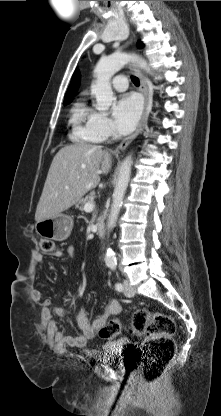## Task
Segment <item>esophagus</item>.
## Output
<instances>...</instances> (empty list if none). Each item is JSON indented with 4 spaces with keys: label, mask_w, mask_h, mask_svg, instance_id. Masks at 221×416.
<instances>
[{
    "label": "esophagus",
    "mask_w": 221,
    "mask_h": 416,
    "mask_svg": "<svg viewBox=\"0 0 221 416\" xmlns=\"http://www.w3.org/2000/svg\"><path fill=\"white\" fill-rule=\"evenodd\" d=\"M132 70L134 71V73L137 75V77L140 80V91L144 96V100H145V108H144V112L142 115V118L138 124V127L136 129V131L129 137L125 138L117 147L116 152H120L126 149V147L139 135V133L142 131L143 129V125L147 119L148 116V104H149V94H148V88L145 82V78L142 74V72L139 70L138 66L133 63L132 64Z\"/></svg>",
    "instance_id": "esophagus-1"
}]
</instances>
